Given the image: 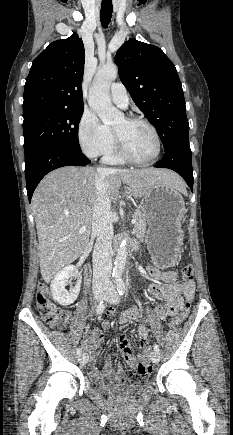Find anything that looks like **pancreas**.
I'll list each match as a JSON object with an SVG mask.
<instances>
[{"label":"pancreas","instance_id":"1","mask_svg":"<svg viewBox=\"0 0 233 435\" xmlns=\"http://www.w3.org/2000/svg\"><path fill=\"white\" fill-rule=\"evenodd\" d=\"M133 218L136 219V223L134 224V234L138 239H143L145 231H146V219L145 215L141 211H136L133 214Z\"/></svg>","mask_w":233,"mask_h":435}]
</instances>
